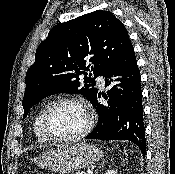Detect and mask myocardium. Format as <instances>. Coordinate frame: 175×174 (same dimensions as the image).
Returning <instances> with one entry per match:
<instances>
[{
	"label": "myocardium",
	"mask_w": 175,
	"mask_h": 174,
	"mask_svg": "<svg viewBox=\"0 0 175 174\" xmlns=\"http://www.w3.org/2000/svg\"><path fill=\"white\" fill-rule=\"evenodd\" d=\"M65 103L77 104L83 109L86 116V125L83 128V130H81L79 133L75 135L68 136V137H59L54 135L50 130L49 117L56 107ZM41 126L45 136L52 142H57V143L74 142L85 137L92 130L94 126V116L89 104L83 98L76 97V96L63 97L50 103L47 106L42 116Z\"/></svg>",
	"instance_id": "myocardium-1"
}]
</instances>
